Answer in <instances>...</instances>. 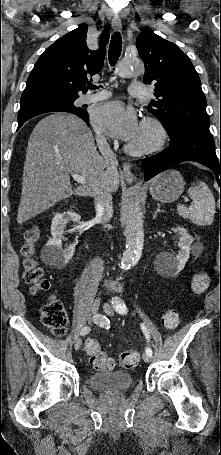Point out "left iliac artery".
I'll use <instances>...</instances> for the list:
<instances>
[{"label":"left iliac artery","mask_w":221,"mask_h":455,"mask_svg":"<svg viewBox=\"0 0 221 455\" xmlns=\"http://www.w3.org/2000/svg\"><path fill=\"white\" fill-rule=\"evenodd\" d=\"M112 304H113V307L116 310V312H118L120 314H126L127 313V311H128L127 306L125 305L124 301L121 298L114 297L112 299ZM141 329H142L143 333L145 334L146 339L149 340L150 335H149V332H148V330H147V328H146V326L144 324H141ZM146 353L148 355L152 356L153 352H152L151 348L147 347Z\"/></svg>","instance_id":"1"}]
</instances>
